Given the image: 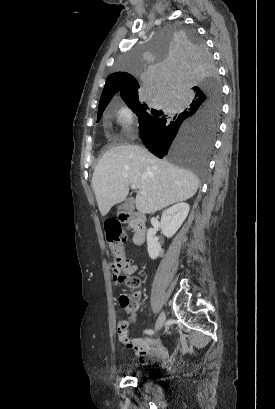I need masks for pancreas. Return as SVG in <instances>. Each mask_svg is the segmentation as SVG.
<instances>
[{"label":"pancreas","instance_id":"obj_1","mask_svg":"<svg viewBox=\"0 0 275 409\" xmlns=\"http://www.w3.org/2000/svg\"><path fill=\"white\" fill-rule=\"evenodd\" d=\"M130 227H133V225H131V223H130Z\"/></svg>","mask_w":275,"mask_h":409}]
</instances>
